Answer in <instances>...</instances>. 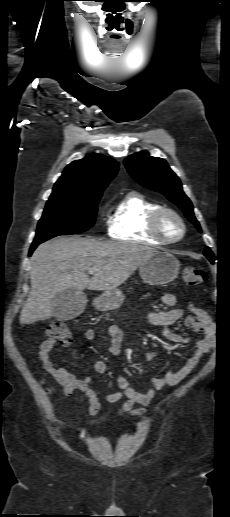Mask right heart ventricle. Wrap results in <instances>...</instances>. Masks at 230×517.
Segmentation results:
<instances>
[{"label":"right heart ventricle","mask_w":230,"mask_h":517,"mask_svg":"<svg viewBox=\"0 0 230 517\" xmlns=\"http://www.w3.org/2000/svg\"><path fill=\"white\" fill-rule=\"evenodd\" d=\"M161 205L138 191L125 194L117 203L109 224V236L115 240L151 245L163 244L150 232L149 219Z\"/></svg>","instance_id":"obj_1"}]
</instances>
